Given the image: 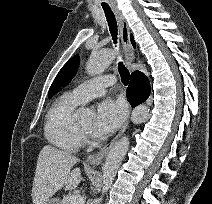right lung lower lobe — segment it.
I'll list each match as a JSON object with an SVG mask.
<instances>
[{"label":"right lung lower lobe","instance_id":"obj_1","mask_svg":"<svg viewBox=\"0 0 212 204\" xmlns=\"http://www.w3.org/2000/svg\"><path fill=\"white\" fill-rule=\"evenodd\" d=\"M150 95L148 78L140 71L131 74L130 84L127 88V99L132 107L143 103Z\"/></svg>","mask_w":212,"mask_h":204}]
</instances>
